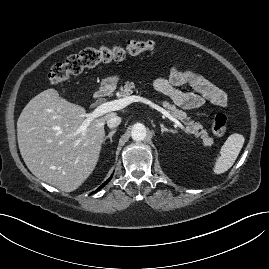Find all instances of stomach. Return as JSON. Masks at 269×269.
<instances>
[{"instance_id": "stomach-1", "label": "stomach", "mask_w": 269, "mask_h": 269, "mask_svg": "<svg viewBox=\"0 0 269 269\" xmlns=\"http://www.w3.org/2000/svg\"><path fill=\"white\" fill-rule=\"evenodd\" d=\"M119 80L118 76H110L101 82L100 90L102 91H112L116 88L117 82Z\"/></svg>"}]
</instances>
